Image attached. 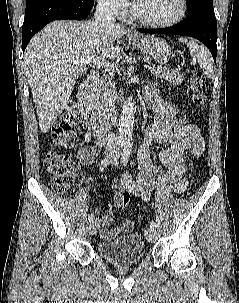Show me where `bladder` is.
<instances>
[{
  "label": "bladder",
  "instance_id": "1",
  "mask_svg": "<svg viewBox=\"0 0 239 303\" xmlns=\"http://www.w3.org/2000/svg\"><path fill=\"white\" fill-rule=\"evenodd\" d=\"M98 252L114 265L130 266L144 257L145 244L139 234L133 233L99 243Z\"/></svg>",
  "mask_w": 239,
  "mask_h": 303
}]
</instances>
